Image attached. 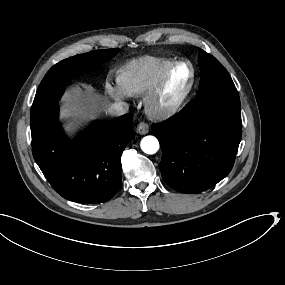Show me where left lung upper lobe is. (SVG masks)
Returning a JSON list of instances; mask_svg holds the SVG:
<instances>
[{
	"label": "left lung upper lobe",
	"mask_w": 285,
	"mask_h": 285,
	"mask_svg": "<svg viewBox=\"0 0 285 285\" xmlns=\"http://www.w3.org/2000/svg\"><path fill=\"white\" fill-rule=\"evenodd\" d=\"M198 63L201 72L199 91L206 94L214 91L236 89L227 70L212 55L200 50Z\"/></svg>",
	"instance_id": "obj_1"
}]
</instances>
